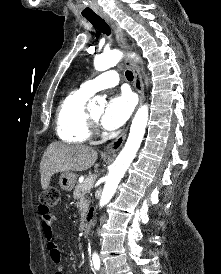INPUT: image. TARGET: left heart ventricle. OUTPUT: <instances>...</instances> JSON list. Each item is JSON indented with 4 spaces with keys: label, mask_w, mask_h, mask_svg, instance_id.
Here are the masks:
<instances>
[{
    "label": "left heart ventricle",
    "mask_w": 221,
    "mask_h": 274,
    "mask_svg": "<svg viewBox=\"0 0 221 274\" xmlns=\"http://www.w3.org/2000/svg\"><path fill=\"white\" fill-rule=\"evenodd\" d=\"M91 114L94 118L99 119L102 114V110L100 109V110L93 111Z\"/></svg>",
    "instance_id": "b2bd125f"
}]
</instances>
